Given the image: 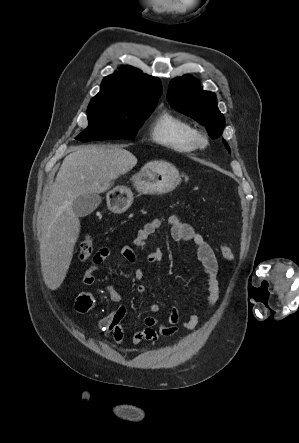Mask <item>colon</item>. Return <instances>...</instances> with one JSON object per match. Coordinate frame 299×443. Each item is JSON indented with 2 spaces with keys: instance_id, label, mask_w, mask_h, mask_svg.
Segmentation results:
<instances>
[{
  "instance_id": "1",
  "label": "colon",
  "mask_w": 299,
  "mask_h": 443,
  "mask_svg": "<svg viewBox=\"0 0 299 443\" xmlns=\"http://www.w3.org/2000/svg\"><path fill=\"white\" fill-rule=\"evenodd\" d=\"M93 251V242L90 237H86L80 244L79 247V259L81 261H86L89 259ZM220 252L224 259L232 261L234 260V253L225 244L220 245Z\"/></svg>"
}]
</instances>
